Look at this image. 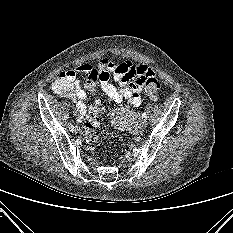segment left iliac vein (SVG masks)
<instances>
[{
  "mask_svg": "<svg viewBox=\"0 0 233 233\" xmlns=\"http://www.w3.org/2000/svg\"><path fill=\"white\" fill-rule=\"evenodd\" d=\"M147 126V121L146 120H142L140 123H139V129H144L145 127Z\"/></svg>",
  "mask_w": 233,
  "mask_h": 233,
  "instance_id": "left-iliac-vein-1",
  "label": "left iliac vein"
}]
</instances>
